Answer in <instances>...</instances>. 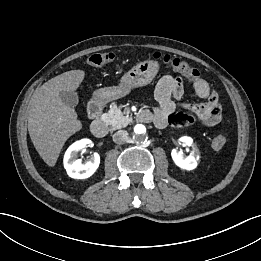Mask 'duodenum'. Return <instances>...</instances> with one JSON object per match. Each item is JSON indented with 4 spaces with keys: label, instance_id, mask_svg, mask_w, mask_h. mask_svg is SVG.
I'll list each match as a JSON object with an SVG mask.
<instances>
[{
    "label": "duodenum",
    "instance_id": "410a0bca",
    "mask_svg": "<svg viewBox=\"0 0 261 261\" xmlns=\"http://www.w3.org/2000/svg\"><path fill=\"white\" fill-rule=\"evenodd\" d=\"M103 104L100 100H93L88 105V114L92 119L91 132L96 138H104L107 135L108 129L106 123L101 118ZM141 122H149L151 114L148 111H142L138 115Z\"/></svg>",
    "mask_w": 261,
    "mask_h": 261
}]
</instances>
